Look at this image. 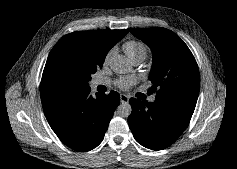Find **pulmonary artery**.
<instances>
[{
  "instance_id": "obj_1",
  "label": "pulmonary artery",
  "mask_w": 237,
  "mask_h": 169,
  "mask_svg": "<svg viewBox=\"0 0 237 169\" xmlns=\"http://www.w3.org/2000/svg\"><path fill=\"white\" fill-rule=\"evenodd\" d=\"M140 62H135V64H139ZM106 83V80H103V79H95L93 81V86H98V85H101V84H105ZM155 98L154 97H151L150 98V101L151 102H154Z\"/></svg>"
}]
</instances>
